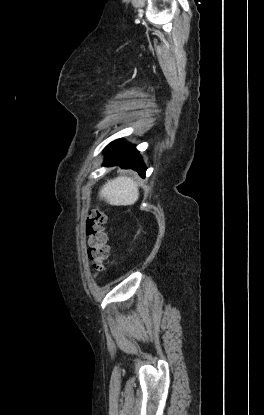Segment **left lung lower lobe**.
<instances>
[{
	"instance_id": "left-lung-lower-lobe-1",
	"label": "left lung lower lobe",
	"mask_w": 264,
	"mask_h": 415,
	"mask_svg": "<svg viewBox=\"0 0 264 415\" xmlns=\"http://www.w3.org/2000/svg\"><path fill=\"white\" fill-rule=\"evenodd\" d=\"M105 154L104 165H117L124 169H134L142 177L145 176L146 166L135 146L118 139L105 148Z\"/></svg>"
}]
</instances>
